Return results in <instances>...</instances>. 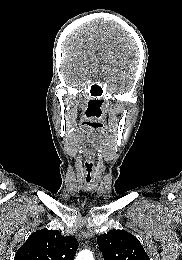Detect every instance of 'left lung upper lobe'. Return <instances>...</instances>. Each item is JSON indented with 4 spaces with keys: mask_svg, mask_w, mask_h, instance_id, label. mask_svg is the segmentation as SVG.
<instances>
[{
    "mask_svg": "<svg viewBox=\"0 0 182 260\" xmlns=\"http://www.w3.org/2000/svg\"><path fill=\"white\" fill-rule=\"evenodd\" d=\"M97 243L104 260H150L139 240L125 230L100 235Z\"/></svg>",
    "mask_w": 182,
    "mask_h": 260,
    "instance_id": "obj_1",
    "label": "left lung upper lobe"
}]
</instances>
